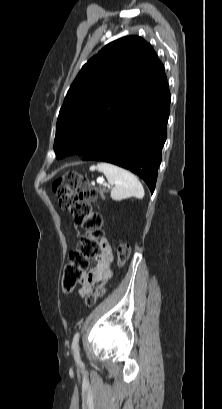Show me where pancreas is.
Segmentation results:
<instances>
[{
    "label": "pancreas",
    "instance_id": "pancreas-1",
    "mask_svg": "<svg viewBox=\"0 0 222 409\" xmlns=\"http://www.w3.org/2000/svg\"><path fill=\"white\" fill-rule=\"evenodd\" d=\"M106 192H107V190L104 189V188H100V189H99V193H100L102 199H105V195H104V194H105Z\"/></svg>",
    "mask_w": 222,
    "mask_h": 409
}]
</instances>
